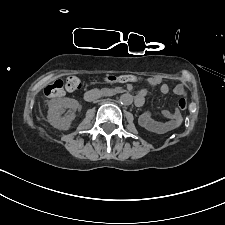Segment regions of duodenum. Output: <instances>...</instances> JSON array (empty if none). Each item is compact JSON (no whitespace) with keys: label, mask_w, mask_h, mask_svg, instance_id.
<instances>
[{"label":"duodenum","mask_w":225,"mask_h":225,"mask_svg":"<svg viewBox=\"0 0 225 225\" xmlns=\"http://www.w3.org/2000/svg\"><path fill=\"white\" fill-rule=\"evenodd\" d=\"M102 96H103V93L97 90H88L84 94V98L86 99V101H89V102L97 100L101 98ZM135 104L138 106L142 105L143 99L135 96Z\"/></svg>","instance_id":"obj_1"}]
</instances>
